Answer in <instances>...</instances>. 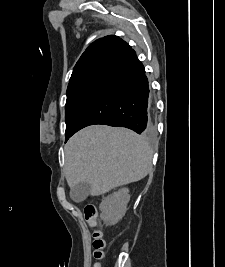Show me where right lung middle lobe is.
I'll use <instances>...</instances> for the list:
<instances>
[{
  "label": "right lung middle lobe",
  "instance_id": "1",
  "mask_svg": "<svg viewBox=\"0 0 225 267\" xmlns=\"http://www.w3.org/2000/svg\"><path fill=\"white\" fill-rule=\"evenodd\" d=\"M102 76L103 75H95L86 77L68 85L67 101L65 106L66 141L71 136L73 124L81 106Z\"/></svg>",
  "mask_w": 225,
  "mask_h": 267
}]
</instances>
